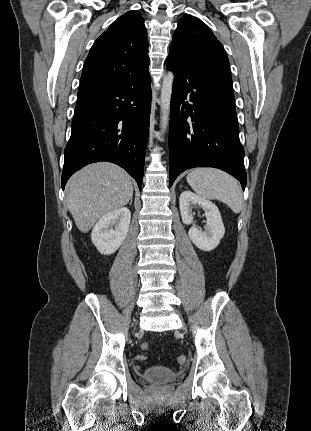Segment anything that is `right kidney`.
<instances>
[{
  "instance_id": "ca27d5eb",
  "label": "right kidney",
  "mask_w": 311,
  "mask_h": 431,
  "mask_svg": "<svg viewBox=\"0 0 311 431\" xmlns=\"http://www.w3.org/2000/svg\"><path fill=\"white\" fill-rule=\"evenodd\" d=\"M130 219L128 208H118L100 217L91 233L92 241L100 253H114L120 247L128 233Z\"/></svg>"
}]
</instances>
